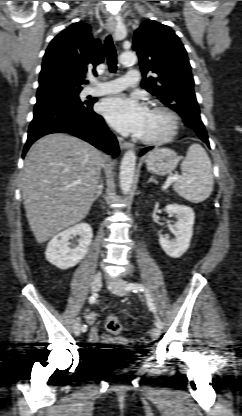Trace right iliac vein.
Listing matches in <instances>:
<instances>
[{"label": "right iliac vein", "instance_id": "right-iliac-vein-1", "mask_svg": "<svg viewBox=\"0 0 242 416\" xmlns=\"http://www.w3.org/2000/svg\"><path fill=\"white\" fill-rule=\"evenodd\" d=\"M102 285V275L101 273H97L94 275L92 282H91V291L92 293H96L99 291ZM75 335L79 336L81 334V321L80 318H77L74 322L73 327Z\"/></svg>", "mask_w": 242, "mask_h": 416}]
</instances>
